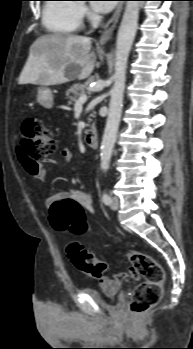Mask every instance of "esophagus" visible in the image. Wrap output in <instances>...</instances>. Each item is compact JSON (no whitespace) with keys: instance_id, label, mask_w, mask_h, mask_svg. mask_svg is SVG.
Listing matches in <instances>:
<instances>
[{"instance_id":"34e87169","label":"esophagus","mask_w":193,"mask_h":349,"mask_svg":"<svg viewBox=\"0 0 193 349\" xmlns=\"http://www.w3.org/2000/svg\"><path fill=\"white\" fill-rule=\"evenodd\" d=\"M122 9H123V3L122 1H120L117 4L114 13L112 14L110 19L107 21V23L103 27L102 33L99 38L100 45L106 44L112 38L113 33L117 27L119 18L121 16Z\"/></svg>"}]
</instances>
